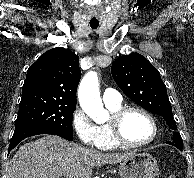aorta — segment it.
Here are the masks:
<instances>
[{"label": "aorta", "mask_w": 194, "mask_h": 178, "mask_svg": "<svg viewBox=\"0 0 194 178\" xmlns=\"http://www.w3.org/2000/svg\"><path fill=\"white\" fill-rule=\"evenodd\" d=\"M78 99L83 111L95 122L102 123L108 119L109 114L103 107L98 75L95 71H89L81 80Z\"/></svg>", "instance_id": "762f6f07"}]
</instances>
